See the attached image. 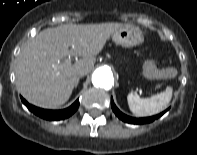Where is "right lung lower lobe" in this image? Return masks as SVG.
<instances>
[{
  "label": "right lung lower lobe",
  "mask_w": 197,
  "mask_h": 155,
  "mask_svg": "<svg viewBox=\"0 0 197 155\" xmlns=\"http://www.w3.org/2000/svg\"><path fill=\"white\" fill-rule=\"evenodd\" d=\"M23 104L33 112L35 115L46 120H62L71 116L79 107V100H76L70 107L63 110H46L35 107L29 104L25 99L21 97Z\"/></svg>",
  "instance_id": "98d812e1"
}]
</instances>
